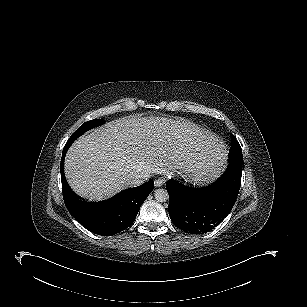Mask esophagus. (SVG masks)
I'll list each match as a JSON object with an SVG mask.
<instances>
[{"label": "esophagus", "mask_w": 307, "mask_h": 307, "mask_svg": "<svg viewBox=\"0 0 307 307\" xmlns=\"http://www.w3.org/2000/svg\"><path fill=\"white\" fill-rule=\"evenodd\" d=\"M164 183H165V179L163 177H160L155 180L154 186L161 187Z\"/></svg>", "instance_id": "1"}]
</instances>
